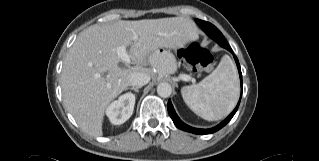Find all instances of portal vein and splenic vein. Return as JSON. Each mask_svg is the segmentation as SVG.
Segmentation results:
<instances>
[{
  "mask_svg": "<svg viewBox=\"0 0 319 161\" xmlns=\"http://www.w3.org/2000/svg\"><path fill=\"white\" fill-rule=\"evenodd\" d=\"M116 52H117V55L118 57L121 59L122 62H124L126 65H129L130 64V55H128L127 51H126V47L125 46H119L117 47L116 49ZM181 78L183 80H190L191 77L188 76V75H181Z\"/></svg>",
  "mask_w": 319,
  "mask_h": 161,
  "instance_id": "1",
  "label": "portal vein and splenic vein"
}]
</instances>
